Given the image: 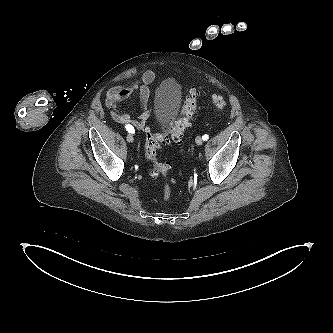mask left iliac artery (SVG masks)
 I'll use <instances>...</instances> for the list:
<instances>
[{
    "label": "left iliac artery",
    "instance_id": "44dca946",
    "mask_svg": "<svg viewBox=\"0 0 333 333\" xmlns=\"http://www.w3.org/2000/svg\"><path fill=\"white\" fill-rule=\"evenodd\" d=\"M208 138H209V136H208L207 134H205V135L202 136V139H203L204 141H207Z\"/></svg>",
    "mask_w": 333,
    "mask_h": 333
}]
</instances>
